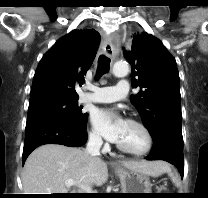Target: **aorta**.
Segmentation results:
<instances>
[{
    "label": "aorta",
    "mask_w": 208,
    "mask_h": 198,
    "mask_svg": "<svg viewBox=\"0 0 208 198\" xmlns=\"http://www.w3.org/2000/svg\"><path fill=\"white\" fill-rule=\"evenodd\" d=\"M129 72V66L125 62H116L113 66V74L116 77H125Z\"/></svg>",
    "instance_id": "762f6f07"
}]
</instances>
